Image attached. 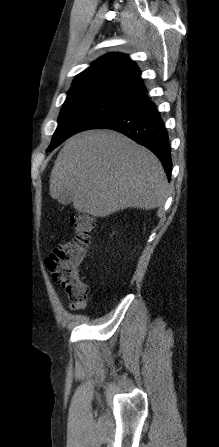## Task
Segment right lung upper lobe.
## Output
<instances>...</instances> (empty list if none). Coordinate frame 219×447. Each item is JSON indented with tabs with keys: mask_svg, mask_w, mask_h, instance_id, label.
I'll return each mask as SVG.
<instances>
[{
	"mask_svg": "<svg viewBox=\"0 0 219 447\" xmlns=\"http://www.w3.org/2000/svg\"><path fill=\"white\" fill-rule=\"evenodd\" d=\"M140 75L141 72L127 55L110 53L78 74L72 88L109 87L146 102L148 95Z\"/></svg>",
	"mask_w": 219,
	"mask_h": 447,
	"instance_id": "right-lung-upper-lobe-1",
	"label": "right lung upper lobe"
}]
</instances>
